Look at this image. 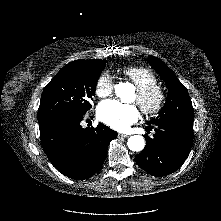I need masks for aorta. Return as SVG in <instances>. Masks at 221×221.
I'll return each instance as SVG.
<instances>
[{
  "label": "aorta",
  "mask_w": 221,
  "mask_h": 221,
  "mask_svg": "<svg viewBox=\"0 0 221 221\" xmlns=\"http://www.w3.org/2000/svg\"><path fill=\"white\" fill-rule=\"evenodd\" d=\"M133 92H134V87L130 83L120 82L115 86V93L121 99H123V97L126 94H132ZM127 145L131 151L139 152L144 149L145 140L140 135H133L128 139Z\"/></svg>",
  "instance_id": "762f6f07"
}]
</instances>
